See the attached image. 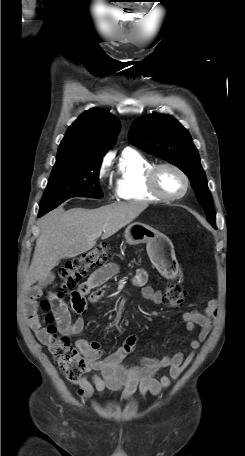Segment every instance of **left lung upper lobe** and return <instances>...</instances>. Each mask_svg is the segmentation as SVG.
I'll list each match as a JSON object with an SVG mask.
<instances>
[{
  "label": "left lung upper lobe",
  "mask_w": 245,
  "mask_h": 456,
  "mask_svg": "<svg viewBox=\"0 0 245 456\" xmlns=\"http://www.w3.org/2000/svg\"><path fill=\"white\" fill-rule=\"evenodd\" d=\"M128 136L134 146L174 164L188 176L198 201L208 214L207 221L216 228L206 175L188 131L168 115L153 114L135 120Z\"/></svg>",
  "instance_id": "obj_1"
}]
</instances>
